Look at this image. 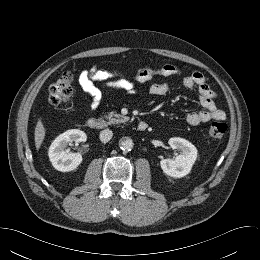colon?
<instances>
[{
	"label": "colon",
	"instance_id": "1",
	"mask_svg": "<svg viewBox=\"0 0 260 260\" xmlns=\"http://www.w3.org/2000/svg\"><path fill=\"white\" fill-rule=\"evenodd\" d=\"M144 73L143 70L139 72ZM74 77L70 72H64L49 88V102L53 106H60L68 102L74 93ZM227 131V125L222 122H214L209 126L208 135L212 140L221 139Z\"/></svg>",
	"mask_w": 260,
	"mask_h": 260
}]
</instances>
